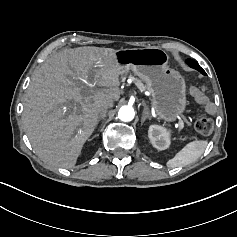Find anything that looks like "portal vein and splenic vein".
I'll return each mask as SVG.
<instances>
[{
  "instance_id": "obj_1",
  "label": "portal vein and splenic vein",
  "mask_w": 237,
  "mask_h": 237,
  "mask_svg": "<svg viewBox=\"0 0 237 237\" xmlns=\"http://www.w3.org/2000/svg\"><path fill=\"white\" fill-rule=\"evenodd\" d=\"M179 124H180V130H181V132L185 129L184 127H183V121H179Z\"/></svg>"
}]
</instances>
